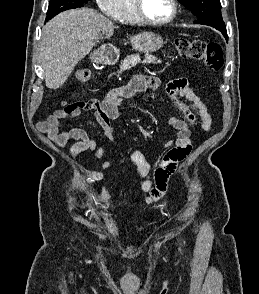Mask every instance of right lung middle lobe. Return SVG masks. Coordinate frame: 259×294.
<instances>
[{
    "instance_id": "obj_1",
    "label": "right lung middle lobe",
    "mask_w": 259,
    "mask_h": 294,
    "mask_svg": "<svg viewBox=\"0 0 259 294\" xmlns=\"http://www.w3.org/2000/svg\"><path fill=\"white\" fill-rule=\"evenodd\" d=\"M89 0H50L46 22L62 11L83 7Z\"/></svg>"
}]
</instances>
